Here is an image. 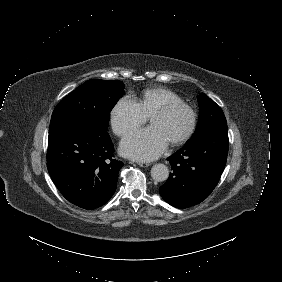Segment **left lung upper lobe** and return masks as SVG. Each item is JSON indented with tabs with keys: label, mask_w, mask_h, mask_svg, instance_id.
<instances>
[{
	"label": "left lung upper lobe",
	"mask_w": 282,
	"mask_h": 282,
	"mask_svg": "<svg viewBox=\"0 0 282 282\" xmlns=\"http://www.w3.org/2000/svg\"><path fill=\"white\" fill-rule=\"evenodd\" d=\"M198 102L200 108L199 119L194 135H197L210 127L226 124V118L222 109L206 94L200 93Z\"/></svg>",
	"instance_id": "1"
}]
</instances>
